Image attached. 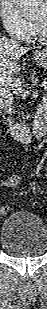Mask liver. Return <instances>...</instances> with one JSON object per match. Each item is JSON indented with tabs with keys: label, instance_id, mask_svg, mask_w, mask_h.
Returning a JSON list of instances; mask_svg holds the SVG:
<instances>
[{
	"label": "liver",
	"instance_id": "obj_1",
	"mask_svg": "<svg viewBox=\"0 0 47 309\" xmlns=\"http://www.w3.org/2000/svg\"><path fill=\"white\" fill-rule=\"evenodd\" d=\"M31 48L23 47L14 40L0 37V78L17 75L20 72L18 60Z\"/></svg>",
	"mask_w": 47,
	"mask_h": 309
}]
</instances>
